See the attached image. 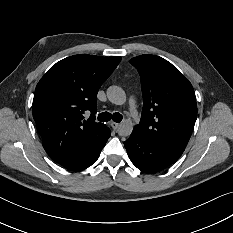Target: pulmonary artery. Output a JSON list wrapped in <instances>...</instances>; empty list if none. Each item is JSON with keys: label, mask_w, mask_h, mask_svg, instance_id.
I'll return each instance as SVG.
<instances>
[{"label": "pulmonary artery", "mask_w": 233, "mask_h": 233, "mask_svg": "<svg viewBox=\"0 0 233 233\" xmlns=\"http://www.w3.org/2000/svg\"><path fill=\"white\" fill-rule=\"evenodd\" d=\"M130 111L132 113H135L136 111V104H135V100L133 97L130 98Z\"/></svg>", "instance_id": "pulmonary-artery-1"}]
</instances>
